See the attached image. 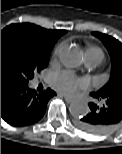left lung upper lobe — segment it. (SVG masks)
<instances>
[{"instance_id":"1","label":"left lung upper lobe","mask_w":122,"mask_h":154,"mask_svg":"<svg viewBox=\"0 0 122 154\" xmlns=\"http://www.w3.org/2000/svg\"><path fill=\"white\" fill-rule=\"evenodd\" d=\"M108 49L112 61V70L109 81L97 92L122 99V43L115 38L99 32H93Z\"/></svg>"}]
</instances>
